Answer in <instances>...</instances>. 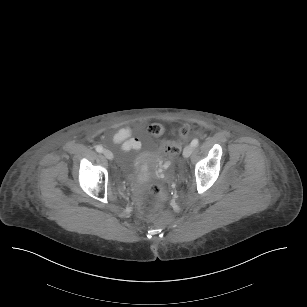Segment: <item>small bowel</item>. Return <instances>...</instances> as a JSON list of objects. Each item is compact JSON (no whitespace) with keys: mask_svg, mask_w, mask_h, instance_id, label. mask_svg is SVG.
<instances>
[{"mask_svg":"<svg viewBox=\"0 0 307 307\" xmlns=\"http://www.w3.org/2000/svg\"><path fill=\"white\" fill-rule=\"evenodd\" d=\"M132 130L130 127L119 129L113 136V141L121 144L123 150L137 149L140 147V142L137 139L131 138Z\"/></svg>","mask_w":307,"mask_h":307,"instance_id":"small-bowel-1","label":"small bowel"}]
</instances>
